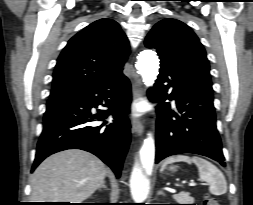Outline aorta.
<instances>
[{"label":"aorta","instance_id":"obj_1","mask_svg":"<svg viewBox=\"0 0 253 205\" xmlns=\"http://www.w3.org/2000/svg\"><path fill=\"white\" fill-rule=\"evenodd\" d=\"M137 70L142 78L143 83L150 87L157 78L159 70V59L155 51L151 49L143 50L138 57ZM143 153L148 155L152 160L154 158V139L151 134L144 140ZM130 190L133 200L141 203L146 200L150 182L148 177L143 173V169L137 162L133 168L130 178Z\"/></svg>","mask_w":253,"mask_h":205}]
</instances>
